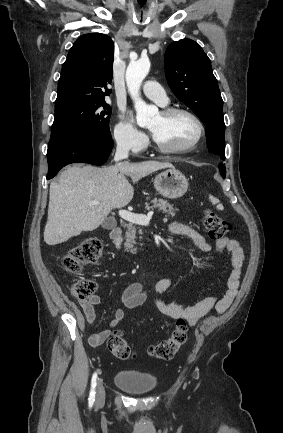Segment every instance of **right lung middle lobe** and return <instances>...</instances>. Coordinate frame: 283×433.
Segmentation results:
<instances>
[{
    "mask_svg": "<svg viewBox=\"0 0 283 433\" xmlns=\"http://www.w3.org/2000/svg\"><path fill=\"white\" fill-rule=\"evenodd\" d=\"M111 107L105 100L74 105L55 111L52 131L55 130H88L103 137H111L109 120Z\"/></svg>",
    "mask_w": 283,
    "mask_h": 433,
    "instance_id": "right-lung-middle-lobe-1",
    "label": "right lung middle lobe"
}]
</instances>
